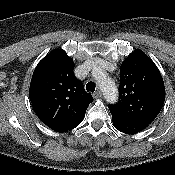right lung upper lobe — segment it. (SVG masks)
<instances>
[{"label": "right lung upper lobe", "mask_w": 175, "mask_h": 175, "mask_svg": "<svg viewBox=\"0 0 175 175\" xmlns=\"http://www.w3.org/2000/svg\"><path fill=\"white\" fill-rule=\"evenodd\" d=\"M74 62L62 49L47 54L34 70L29 96L34 112L49 128L66 132L84 119L90 93L73 73Z\"/></svg>", "instance_id": "cb5924a9"}]
</instances>
